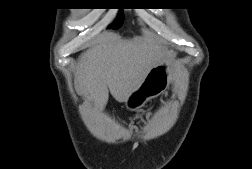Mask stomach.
Returning a JSON list of instances; mask_svg holds the SVG:
<instances>
[{
  "mask_svg": "<svg viewBox=\"0 0 252 169\" xmlns=\"http://www.w3.org/2000/svg\"><path fill=\"white\" fill-rule=\"evenodd\" d=\"M172 80V71L167 61L154 66L147 74L141 85L125 100L126 109L135 111L148 101L166 91Z\"/></svg>",
  "mask_w": 252,
  "mask_h": 169,
  "instance_id": "1",
  "label": "stomach"
}]
</instances>
